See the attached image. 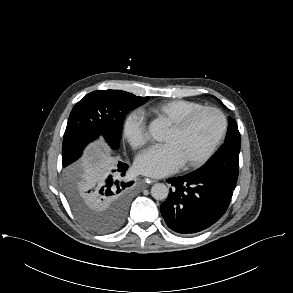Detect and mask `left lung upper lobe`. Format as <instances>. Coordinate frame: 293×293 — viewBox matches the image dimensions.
<instances>
[{"mask_svg": "<svg viewBox=\"0 0 293 293\" xmlns=\"http://www.w3.org/2000/svg\"><path fill=\"white\" fill-rule=\"evenodd\" d=\"M220 102V100H218ZM224 107L225 105L221 103ZM241 138L237 123L229 117V128L224 145L197 172L215 174L237 182Z\"/></svg>", "mask_w": 293, "mask_h": 293, "instance_id": "1", "label": "left lung upper lobe"}]
</instances>
